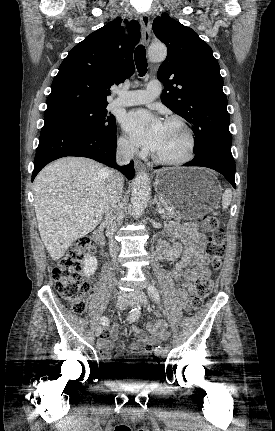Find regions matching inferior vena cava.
<instances>
[{
  "label": "inferior vena cava",
  "instance_id": "602c4592",
  "mask_svg": "<svg viewBox=\"0 0 275 431\" xmlns=\"http://www.w3.org/2000/svg\"><path fill=\"white\" fill-rule=\"evenodd\" d=\"M134 154V147L129 143H122L118 146L116 161L119 165L128 164ZM123 189V178L120 172L115 170L107 171L106 179V204H105V224L110 233V255L116 257V244L112 238L116 224L113 221L112 212L116 204L120 201Z\"/></svg>",
  "mask_w": 275,
  "mask_h": 431
}]
</instances>
